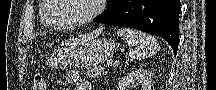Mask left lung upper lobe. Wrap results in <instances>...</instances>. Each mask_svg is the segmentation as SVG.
I'll list each match as a JSON object with an SVG mask.
<instances>
[{"label": "left lung upper lobe", "mask_w": 216, "mask_h": 90, "mask_svg": "<svg viewBox=\"0 0 216 90\" xmlns=\"http://www.w3.org/2000/svg\"><path fill=\"white\" fill-rule=\"evenodd\" d=\"M119 0H108L109 9L114 8L118 4Z\"/></svg>", "instance_id": "obj_1"}]
</instances>
